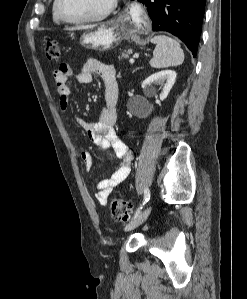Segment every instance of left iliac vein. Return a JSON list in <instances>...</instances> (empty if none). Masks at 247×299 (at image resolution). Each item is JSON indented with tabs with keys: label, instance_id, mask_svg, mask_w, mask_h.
Instances as JSON below:
<instances>
[{
	"label": "left iliac vein",
	"instance_id": "left-iliac-vein-1",
	"mask_svg": "<svg viewBox=\"0 0 247 299\" xmlns=\"http://www.w3.org/2000/svg\"><path fill=\"white\" fill-rule=\"evenodd\" d=\"M151 209H152L151 206H147L135 219H133L131 222H129L126 225L125 231H131L137 228L138 226H140L142 223H144L148 218Z\"/></svg>",
	"mask_w": 247,
	"mask_h": 299
}]
</instances>
